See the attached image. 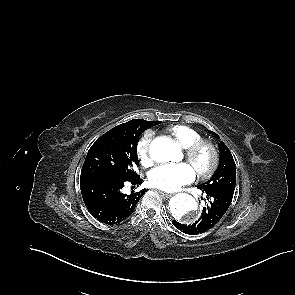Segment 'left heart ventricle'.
Returning <instances> with one entry per match:
<instances>
[{
	"label": "left heart ventricle",
	"instance_id": "left-heart-ventricle-1",
	"mask_svg": "<svg viewBox=\"0 0 295 295\" xmlns=\"http://www.w3.org/2000/svg\"><path fill=\"white\" fill-rule=\"evenodd\" d=\"M211 161V155L208 150L201 151L198 156L195 158L194 161L189 162L190 165L194 168V170L197 169H203L206 168Z\"/></svg>",
	"mask_w": 295,
	"mask_h": 295
}]
</instances>
